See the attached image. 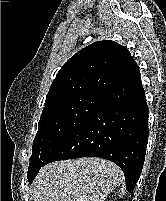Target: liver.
I'll return each instance as SVG.
<instances>
[{"label":"liver","mask_w":166,"mask_h":201,"mask_svg":"<svg viewBox=\"0 0 166 201\" xmlns=\"http://www.w3.org/2000/svg\"><path fill=\"white\" fill-rule=\"evenodd\" d=\"M121 169L105 159L85 157L41 168L32 183L33 201H105L123 182Z\"/></svg>","instance_id":"1"}]
</instances>
